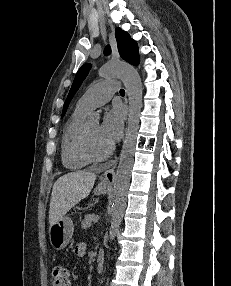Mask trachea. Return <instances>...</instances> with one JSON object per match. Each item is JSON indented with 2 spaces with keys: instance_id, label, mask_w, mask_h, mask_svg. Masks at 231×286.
Segmentation results:
<instances>
[{
  "instance_id": "3493384b",
  "label": "trachea",
  "mask_w": 231,
  "mask_h": 286,
  "mask_svg": "<svg viewBox=\"0 0 231 286\" xmlns=\"http://www.w3.org/2000/svg\"><path fill=\"white\" fill-rule=\"evenodd\" d=\"M120 94H121V95H125L124 89H121V90H120Z\"/></svg>"
}]
</instances>
